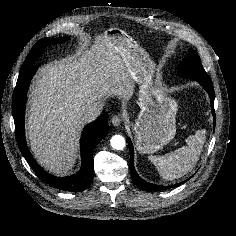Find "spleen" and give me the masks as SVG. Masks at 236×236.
Segmentation results:
<instances>
[{
	"label": "spleen",
	"instance_id": "3e777b00",
	"mask_svg": "<svg viewBox=\"0 0 236 236\" xmlns=\"http://www.w3.org/2000/svg\"><path fill=\"white\" fill-rule=\"evenodd\" d=\"M206 141V131L198 130L186 139L183 146L166 156H149L159 174L166 180L178 179L190 172L199 160Z\"/></svg>",
	"mask_w": 236,
	"mask_h": 236
}]
</instances>
